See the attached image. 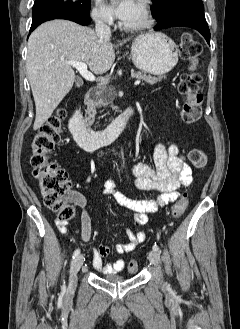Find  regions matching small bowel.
I'll list each match as a JSON object with an SVG mask.
<instances>
[{
  "instance_id": "small-bowel-1",
  "label": "small bowel",
  "mask_w": 240,
  "mask_h": 329,
  "mask_svg": "<svg viewBox=\"0 0 240 329\" xmlns=\"http://www.w3.org/2000/svg\"><path fill=\"white\" fill-rule=\"evenodd\" d=\"M134 177L135 186L143 191L156 193L154 199L133 200L114 190V181L105 183V194L111 196L122 208L133 214L134 224L141 227L149 222V215L158 208L175 202L181 189L192 181L191 167L186 163L185 158L179 153L176 146H165L158 144L154 148V165L147 163H136L130 168ZM79 205L83 206L84 201L77 198ZM55 225L62 234L67 232V223L57 220ZM129 242L116 244L114 250L119 254H125L135 250L145 241L146 235L143 231L133 232L127 228ZM81 237L84 242H89L92 237L91 217L84 210L81 215ZM110 249L100 246L92 250L93 267L102 274H115L123 270L125 261L119 259L113 263L105 264L103 258L108 256Z\"/></svg>"
}]
</instances>
